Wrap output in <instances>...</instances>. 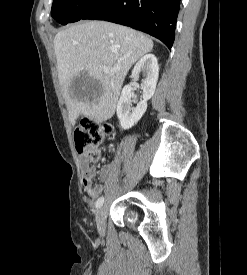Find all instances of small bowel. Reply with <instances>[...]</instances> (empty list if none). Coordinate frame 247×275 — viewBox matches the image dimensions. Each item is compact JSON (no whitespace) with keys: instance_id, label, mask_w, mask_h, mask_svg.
Returning <instances> with one entry per match:
<instances>
[{"instance_id":"obj_1","label":"small bowel","mask_w":247,"mask_h":275,"mask_svg":"<svg viewBox=\"0 0 247 275\" xmlns=\"http://www.w3.org/2000/svg\"><path fill=\"white\" fill-rule=\"evenodd\" d=\"M81 180L84 190L91 198H97L103 192L102 184H93L94 177L98 171L94 165L89 163V158L86 154L80 156ZM116 164L114 162L105 165L99 172V177L103 182L111 181Z\"/></svg>"}]
</instances>
